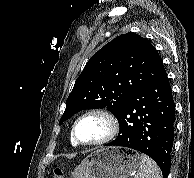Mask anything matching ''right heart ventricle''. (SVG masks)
<instances>
[{"instance_id":"right-heart-ventricle-1","label":"right heart ventricle","mask_w":194,"mask_h":178,"mask_svg":"<svg viewBox=\"0 0 194 178\" xmlns=\"http://www.w3.org/2000/svg\"><path fill=\"white\" fill-rule=\"evenodd\" d=\"M71 144L73 145V146H77V144L71 139Z\"/></svg>"}]
</instances>
